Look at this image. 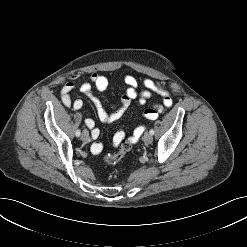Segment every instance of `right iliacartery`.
Segmentation results:
<instances>
[{
  "instance_id": "82829eb1",
  "label": "right iliac artery",
  "mask_w": 247,
  "mask_h": 247,
  "mask_svg": "<svg viewBox=\"0 0 247 247\" xmlns=\"http://www.w3.org/2000/svg\"><path fill=\"white\" fill-rule=\"evenodd\" d=\"M80 134H81L80 130H77L76 133H75V135H76L77 137H79Z\"/></svg>"
}]
</instances>
